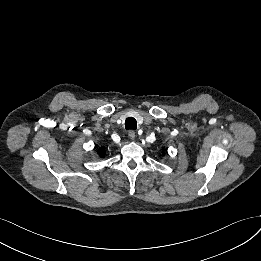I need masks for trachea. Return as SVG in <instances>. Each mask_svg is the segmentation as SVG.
<instances>
[{
    "label": "trachea",
    "mask_w": 261,
    "mask_h": 261,
    "mask_svg": "<svg viewBox=\"0 0 261 261\" xmlns=\"http://www.w3.org/2000/svg\"><path fill=\"white\" fill-rule=\"evenodd\" d=\"M125 128L127 130H135L137 128L136 119L133 117H128L125 121Z\"/></svg>",
    "instance_id": "3493384b"
}]
</instances>
